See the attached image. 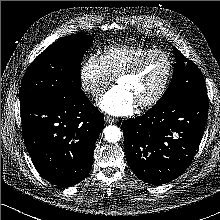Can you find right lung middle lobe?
I'll use <instances>...</instances> for the list:
<instances>
[{
    "label": "right lung middle lobe",
    "instance_id": "dd1d6c3e",
    "mask_svg": "<svg viewBox=\"0 0 220 220\" xmlns=\"http://www.w3.org/2000/svg\"><path fill=\"white\" fill-rule=\"evenodd\" d=\"M92 41L88 35L73 34L58 39L39 54L23 77L20 103L71 100L83 95L80 67Z\"/></svg>",
    "mask_w": 220,
    "mask_h": 220
}]
</instances>
